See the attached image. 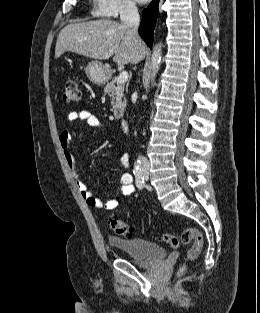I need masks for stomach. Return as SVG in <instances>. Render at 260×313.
Here are the masks:
<instances>
[{"instance_id":"stomach-1","label":"stomach","mask_w":260,"mask_h":313,"mask_svg":"<svg viewBox=\"0 0 260 313\" xmlns=\"http://www.w3.org/2000/svg\"><path fill=\"white\" fill-rule=\"evenodd\" d=\"M85 71L89 80L94 84L101 85L109 77V69L99 61L89 62Z\"/></svg>"}]
</instances>
